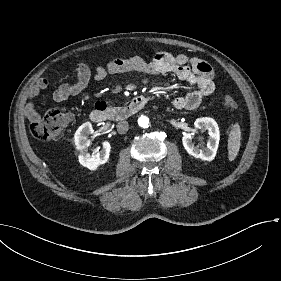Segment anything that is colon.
I'll use <instances>...</instances> for the list:
<instances>
[{
  "mask_svg": "<svg viewBox=\"0 0 281 281\" xmlns=\"http://www.w3.org/2000/svg\"><path fill=\"white\" fill-rule=\"evenodd\" d=\"M226 108H236L237 102L230 95H224L222 101ZM66 119L56 109H51L47 114L39 116L31 123L30 131L34 138L43 142L59 140L64 133Z\"/></svg>",
  "mask_w": 281,
  "mask_h": 281,
  "instance_id": "1",
  "label": "colon"
}]
</instances>
